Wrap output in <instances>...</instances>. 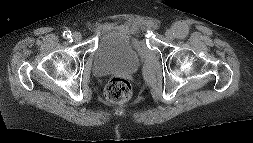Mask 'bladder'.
Segmentation results:
<instances>
[{
  "instance_id": "obj_1",
  "label": "bladder",
  "mask_w": 253,
  "mask_h": 143,
  "mask_svg": "<svg viewBox=\"0 0 253 143\" xmlns=\"http://www.w3.org/2000/svg\"><path fill=\"white\" fill-rule=\"evenodd\" d=\"M142 42L122 22H111L95 51L93 72L98 76L114 72L133 73L142 63Z\"/></svg>"
}]
</instances>
